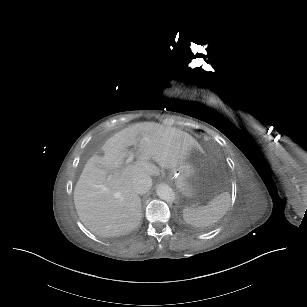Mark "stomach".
<instances>
[{"mask_svg":"<svg viewBox=\"0 0 307 307\" xmlns=\"http://www.w3.org/2000/svg\"><path fill=\"white\" fill-rule=\"evenodd\" d=\"M202 150L192 148L184 161L172 169L169 176L176 187L183 193L189 194L193 190V180L201 160Z\"/></svg>","mask_w":307,"mask_h":307,"instance_id":"obj_1","label":"stomach"}]
</instances>
